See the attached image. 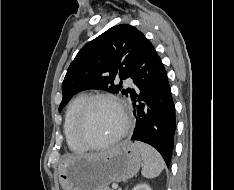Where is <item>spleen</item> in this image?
I'll use <instances>...</instances> for the list:
<instances>
[{"instance_id":"obj_1","label":"spleen","mask_w":234,"mask_h":190,"mask_svg":"<svg viewBox=\"0 0 234 190\" xmlns=\"http://www.w3.org/2000/svg\"><path fill=\"white\" fill-rule=\"evenodd\" d=\"M135 145L142 154L144 166L141 173L143 177L152 179L160 175L165 168V163L158 151L143 142L135 141Z\"/></svg>"}]
</instances>
